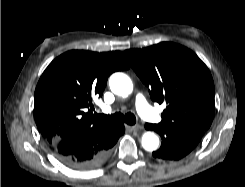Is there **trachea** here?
Here are the masks:
<instances>
[{
  "label": "trachea",
  "mask_w": 245,
  "mask_h": 187,
  "mask_svg": "<svg viewBox=\"0 0 245 187\" xmlns=\"http://www.w3.org/2000/svg\"><path fill=\"white\" fill-rule=\"evenodd\" d=\"M98 117L102 119L103 121L107 123H112V124H121L124 122L127 123L128 125L136 124V117L131 112H128L126 114H122L118 112V113L111 114V115L98 114Z\"/></svg>",
  "instance_id": "obj_1"
}]
</instances>
